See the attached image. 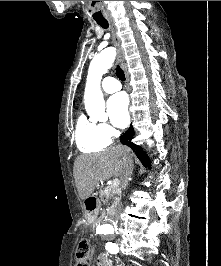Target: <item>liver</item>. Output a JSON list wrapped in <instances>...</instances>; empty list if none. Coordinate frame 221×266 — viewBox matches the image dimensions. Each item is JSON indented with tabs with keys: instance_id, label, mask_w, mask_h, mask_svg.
Segmentation results:
<instances>
[{
	"instance_id": "obj_1",
	"label": "liver",
	"mask_w": 221,
	"mask_h": 266,
	"mask_svg": "<svg viewBox=\"0 0 221 266\" xmlns=\"http://www.w3.org/2000/svg\"><path fill=\"white\" fill-rule=\"evenodd\" d=\"M123 155L131 157L128 147L119 146L99 153L80 155L75 159L73 174L82 200L89 198L99 181L112 176L122 178Z\"/></svg>"
}]
</instances>
